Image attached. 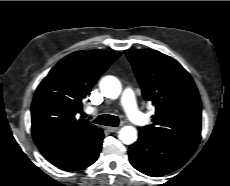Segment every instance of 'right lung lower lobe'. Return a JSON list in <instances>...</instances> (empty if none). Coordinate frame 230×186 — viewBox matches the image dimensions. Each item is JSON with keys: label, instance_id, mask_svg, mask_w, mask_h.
I'll list each match as a JSON object with an SVG mask.
<instances>
[{"label": "right lung lower lobe", "instance_id": "right-lung-lower-lobe-1", "mask_svg": "<svg viewBox=\"0 0 230 186\" xmlns=\"http://www.w3.org/2000/svg\"><path fill=\"white\" fill-rule=\"evenodd\" d=\"M103 138L104 135L102 133L101 136L98 138V140L93 142L86 152H84L77 160L62 167V169L73 171V170L83 169L92 165L99 156L102 147Z\"/></svg>", "mask_w": 230, "mask_h": 186}]
</instances>
